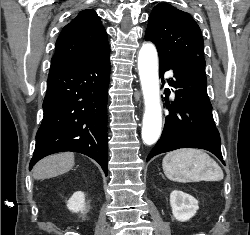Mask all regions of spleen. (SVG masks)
Returning <instances> with one entry per match:
<instances>
[{"label":"spleen","mask_w":250,"mask_h":235,"mask_svg":"<svg viewBox=\"0 0 250 235\" xmlns=\"http://www.w3.org/2000/svg\"><path fill=\"white\" fill-rule=\"evenodd\" d=\"M162 167L169 180L181 183L220 181L224 177L221 167L208 154L197 149L169 152Z\"/></svg>","instance_id":"obj_1"}]
</instances>
